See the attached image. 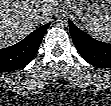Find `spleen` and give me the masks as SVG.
Here are the masks:
<instances>
[{"instance_id":"1","label":"spleen","mask_w":111,"mask_h":106,"mask_svg":"<svg viewBox=\"0 0 111 106\" xmlns=\"http://www.w3.org/2000/svg\"><path fill=\"white\" fill-rule=\"evenodd\" d=\"M85 27L95 38L111 42V16L103 20H91L85 24Z\"/></svg>"}]
</instances>
